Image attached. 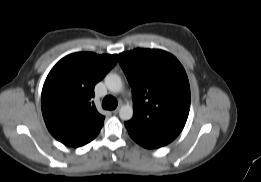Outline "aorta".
I'll return each instance as SVG.
<instances>
[{
	"mask_svg": "<svg viewBox=\"0 0 261 182\" xmlns=\"http://www.w3.org/2000/svg\"><path fill=\"white\" fill-rule=\"evenodd\" d=\"M105 85L109 91L113 93H119L123 89L122 80L119 75L115 73H109L105 77ZM119 116L122 120H130L133 116V108L130 105H123L119 110Z\"/></svg>",
	"mask_w": 261,
	"mask_h": 182,
	"instance_id": "762f6f07",
	"label": "aorta"
}]
</instances>
